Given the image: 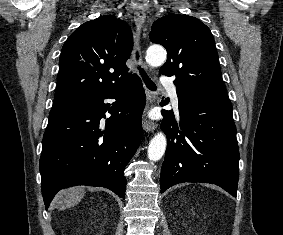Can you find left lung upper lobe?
<instances>
[{
  "label": "left lung upper lobe",
  "instance_id": "1",
  "mask_svg": "<svg viewBox=\"0 0 283 235\" xmlns=\"http://www.w3.org/2000/svg\"><path fill=\"white\" fill-rule=\"evenodd\" d=\"M149 36L166 48L168 58L159 72L175 76L178 89L207 99L229 100L215 41L205 24L188 15H165L153 23Z\"/></svg>",
  "mask_w": 283,
  "mask_h": 235
}]
</instances>
